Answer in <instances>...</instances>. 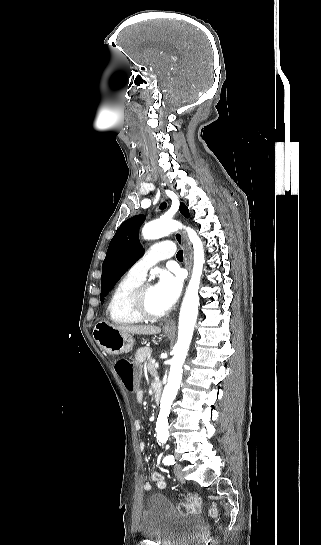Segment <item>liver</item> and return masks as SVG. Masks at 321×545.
<instances>
[{"instance_id":"6515ba94","label":"liver","mask_w":321,"mask_h":545,"mask_svg":"<svg viewBox=\"0 0 321 545\" xmlns=\"http://www.w3.org/2000/svg\"><path fill=\"white\" fill-rule=\"evenodd\" d=\"M112 327L124 335H158L161 333L160 327H155V325H112Z\"/></svg>"}]
</instances>
